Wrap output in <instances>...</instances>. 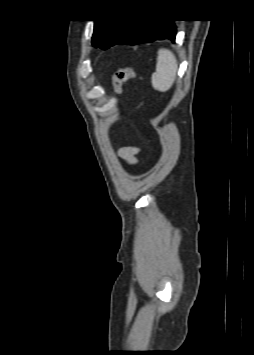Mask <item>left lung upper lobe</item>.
Returning a JSON list of instances; mask_svg holds the SVG:
<instances>
[{"label": "left lung upper lobe", "instance_id": "1", "mask_svg": "<svg viewBox=\"0 0 254 355\" xmlns=\"http://www.w3.org/2000/svg\"><path fill=\"white\" fill-rule=\"evenodd\" d=\"M129 22L124 20H96L94 23V33L92 44L101 49H107L115 44Z\"/></svg>", "mask_w": 254, "mask_h": 355}]
</instances>
